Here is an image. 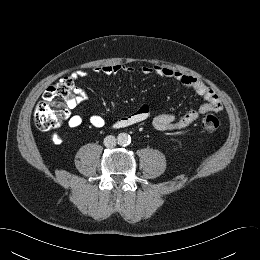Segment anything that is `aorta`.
I'll use <instances>...</instances> for the list:
<instances>
[{
  "instance_id": "obj_1",
  "label": "aorta",
  "mask_w": 260,
  "mask_h": 260,
  "mask_svg": "<svg viewBox=\"0 0 260 260\" xmlns=\"http://www.w3.org/2000/svg\"><path fill=\"white\" fill-rule=\"evenodd\" d=\"M117 141L120 146H127L131 143V137L127 133H120L117 137Z\"/></svg>"
}]
</instances>
